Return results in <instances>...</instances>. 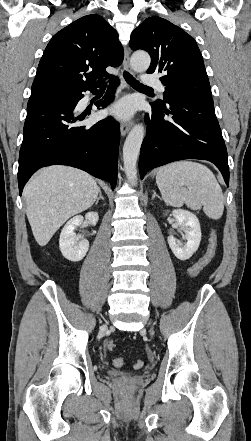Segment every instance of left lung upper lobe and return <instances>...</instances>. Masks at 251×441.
Listing matches in <instances>:
<instances>
[{
    "label": "left lung upper lobe",
    "mask_w": 251,
    "mask_h": 441,
    "mask_svg": "<svg viewBox=\"0 0 251 441\" xmlns=\"http://www.w3.org/2000/svg\"><path fill=\"white\" fill-rule=\"evenodd\" d=\"M131 49H142L151 56L147 73H160L166 86L162 100L188 98L196 94L212 96L201 52L196 41L180 27L153 16L131 34Z\"/></svg>",
    "instance_id": "5c2ea615"
}]
</instances>
